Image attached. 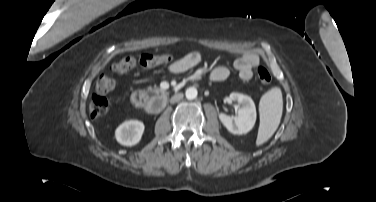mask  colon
Returning <instances> with one entry per match:
<instances>
[{
    "mask_svg": "<svg viewBox=\"0 0 376 202\" xmlns=\"http://www.w3.org/2000/svg\"><path fill=\"white\" fill-rule=\"evenodd\" d=\"M172 60V55L168 53L144 54L138 58L126 56L112 65V71L117 74H125L132 71L137 66L151 68L160 64L169 63ZM257 77L263 84H268L271 81V74L269 70L262 66L257 69ZM113 87L114 81L110 76H99L96 82L97 93L91 96L88 106V111L92 118L99 117L107 111L108 101L103 95L111 91Z\"/></svg>",
    "mask_w": 376,
    "mask_h": 202,
    "instance_id": "1",
    "label": "colon"
}]
</instances>
